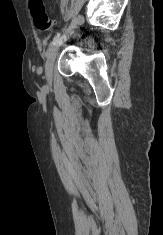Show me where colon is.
Returning a JSON list of instances; mask_svg holds the SVG:
<instances>
[{
    "mask_svg": "<svg viewBox=\"0 0 163 235\" xmlns=\"http://www.w3.org/2000/svg\"><path fill=\"white\" fill-rule=\"evenodd\" d=\"M29 8L33 23L39 31L45 32L53 27L54 21L48 17L43 0H29Z\"/></svg>",
    "mask_w": 163,
    "mask_h": 235,
    "instance_id": "5ec220e1",
    "label": "colon"
}]
</instances>
